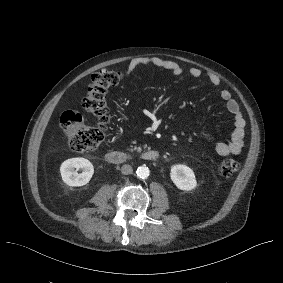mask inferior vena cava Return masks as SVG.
<instances>
[{"mask_svg":"<svg viewBox=\"0 0 283 283\" xmlns=\"http://www.w3.org/2000/svg\"><path fill=\"white\" fill-rule=\"evenodd\" d=\"M132 172H133V169L130 165L125 164L121 167V173L124 175L131 174Z\"/></svg>","mask_w":283,"mask_h":283,"instance_id":"obj_1","label":"inferior vena cava"}]
</instances>
